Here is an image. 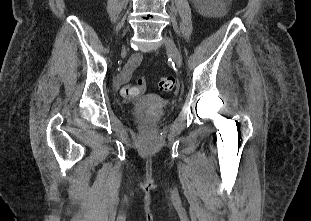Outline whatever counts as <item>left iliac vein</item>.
I'll list each match as a JSON object with an SVG mask.
<instances>
[{
    "label": "left iliac vein",
    "instance_id": "4c4485c4",
    "mask_svg": "<svg viewBox=\"0 0 311 221\" xmlns=\"http://www.w3.org/2000/svg\"><path fill=\"white\" fill-rule=\"evenodd\" d=\"M164 44L166 46V49L170 53L171 57L173 58L176 66L180 68L182 66V57L173 39L168 36H165Z\"/></svg>",
    "mask_w": 311,
    "mask_h": 221
}]
</instances>
